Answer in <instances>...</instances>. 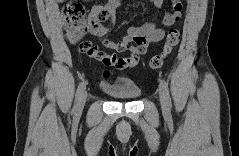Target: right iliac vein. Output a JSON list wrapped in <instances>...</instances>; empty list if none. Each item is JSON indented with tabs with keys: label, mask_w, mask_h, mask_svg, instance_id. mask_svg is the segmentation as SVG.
Wrapping results in <instances>:
<instances>
[{
	"label": "right iliac vein",
	"mask_w": 239,
	"mask_h": 156,
	"mask_svg": "<svg viewBox=\"0 0 239 156\" xmlns=\"http://www.w3.org/2000/svg\"><path fill=\"white\" fill-rule=\"evenodd\" d=\"M86 100H87V93L84 92V93L82 94V96H81L80 101H79L77 113L82 112V110H83V108H84V106H85Z\"/></svg>",
	"instance_id": "1"
}]
</instances>
